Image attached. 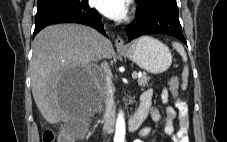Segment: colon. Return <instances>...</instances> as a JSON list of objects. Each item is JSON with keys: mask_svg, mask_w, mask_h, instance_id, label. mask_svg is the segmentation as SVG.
<instances>
[{"mask_svg": "<svg viewBox=\"0 0 227 142\" xmlns=\"http://www.w3.org/2000/svg\"><path fill=\"white\" fill-rule=\"evenodd\" d=\"M178 85H179V81L177 78H173L170 81L169 87L173 95H176ZM42 141L43 142H75V138L73 137L70 131L63 132L62 134L59 135V137H57L53 130H46L43 133Z\"/></svg>", "mask_w": 227, "mask_h": 142, "instance_id": "5ec220e1", "label": "colon"}]
</instances>
